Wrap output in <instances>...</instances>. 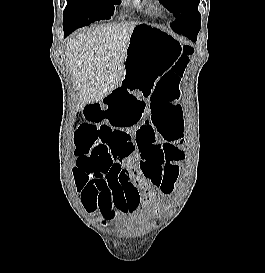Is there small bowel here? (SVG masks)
Returning <instances> with one entry per match:
<instances>
[{
  "label": "small bowel",
  "instance_id": "c3829d8e",
  "mask_svg": "<svg viewBox=\"0 0 265 273\" xmlns=\"http://www.w3.org/2000/svg\"><path fill=\"white\" fill-rule=\"evenodd\" d=\"M85 107L90 109H85L83 118L97 124H75V129H111L115 136L107 147V170L92 177L99 181L96 194L83 192L84 210L99 212L105 222H111L136 211L142 203L151 206L156 188L152 174L166 160L161 159L164 140L160 133L150 123L141 124L145 99L133 91H112L101 103Z\"/></svg>",
  "mask_w": 265,
  "mask_h": 273
}]
</instances>
